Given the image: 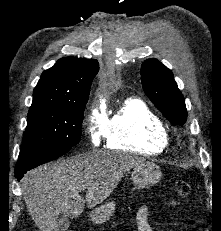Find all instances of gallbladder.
Returning a JSON list of instances; mask_svg holds the SVG:
<instances>
[{
    "instance_id": "bac80fb5",
    "label": "gallbladder",
    "mask_w": 221,
    "mask_h": 231,
    "mask_svg": "<svg viewBox=\"0 0 221 231\" xmlns=\"http://www.w3.org/2000/svg\"><path fill=\"white\" fill-rule=\"evenodd\" d=\"M69 227L68 217L65 215L59 216V231H67Z\"/></svg>"
}]
</instances>
